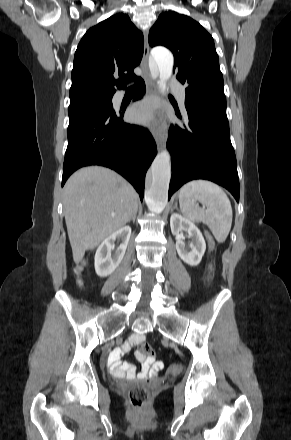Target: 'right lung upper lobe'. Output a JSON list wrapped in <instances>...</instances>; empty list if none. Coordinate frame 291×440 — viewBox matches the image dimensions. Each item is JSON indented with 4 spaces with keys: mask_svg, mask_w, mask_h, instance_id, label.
I'll return each mask as SVG.
<instances>
[{
    "mask_svg": "<svg viewBox=\"0 0 291 440\" xmlns=\"http://www.w3.org/2000/svg\"><path fill=\"white\" fill-rule=\"evenodd\" d=\"M144 49L142 33L128 15L115 14L90 28L74 56L70 102L85 97L113 96L124 79L136 78Z\"/></svg>",
    "mask_w": 291,
    "mask_h": 440,
    "instance_id": "right-lung-upper-lobe-1",
    "label": "right lung upper lobe"
}]
</instances>
